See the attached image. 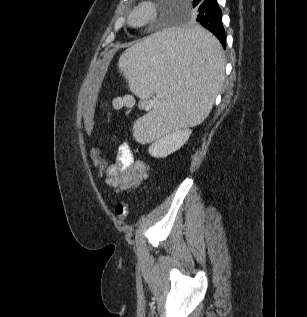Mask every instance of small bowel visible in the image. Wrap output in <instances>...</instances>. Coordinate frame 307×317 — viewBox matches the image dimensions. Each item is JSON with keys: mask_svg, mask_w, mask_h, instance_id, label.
I'll return each mask as SVG.
<instances>
[{"mask_svg": "<svg viewBox=\"0 0 307 317\" xmlns=\"http://www.w3.org/2000/svg\"><path fill=\"white\" fill-rule=\"evenodd\" d=\"M149 172V164L135 160L128 142L123 141L118 146L115 162L107 167L105 178L106 183L120 193L138 187Z\"/></svg>", "mask_w": 307, "mask_h": 317, "instance_id": "obj_1", "label": "small bowel"}]
</instances>
